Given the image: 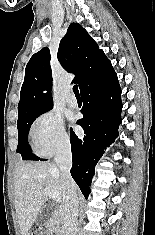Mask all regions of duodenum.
<instances>
[{
	"instance_id": "obj_1",
	"label": "duodenum",
	"mask_w": 155,
	"mask_h": 235,
	"mask_svg": "<svg viewBox=\"0 0 155 235\" xmlns=\"http://www.w3.org/2000/svg\"><path fill=\"white\" fill-rule=\"evenodd\" d=\"M53 213H54L55 216L60 217V216L63 215V210L60 209V208H56V209L53 210Z\"/></svg>"
}]
</instances>
